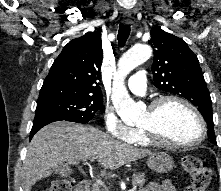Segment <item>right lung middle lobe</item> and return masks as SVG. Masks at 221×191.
<instances>
[{
    "label": "right lung middle lobe",
    "instance_id": "dd1d6c3e",
    "mask_svg": "<svg viewBox=\"0 0 221 191\" xmlns=\"http://www.w3.org/2000/svg\"><path fill=\"white\" fill-rule=\"evenodd\" d=\"M102 105L103 98L74 97L37 101L36 109L46 108L61 117L62 120L84 124L94 118Z\"/></svg>",
    "mask_w": 221,
    "mask_h": 191
}]
</instances>
